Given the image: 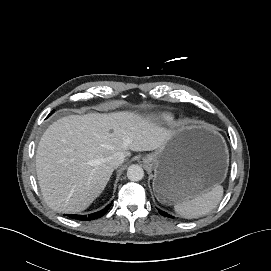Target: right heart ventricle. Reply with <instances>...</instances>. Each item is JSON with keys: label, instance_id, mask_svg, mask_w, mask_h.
<instances>
[{"label": "right heart ventricle", "instance_id": "right-heart-ventricle-1", "mask_svg": "<svg viewBox=\"0 0 271 271\" xmlns=\"http://www.w3.org/2000/svg\"><path fill=\"white\" fill-rule=\"evenodd\" d=\"M161 120L164 123H169V122H171L173 120V116H171V115H164Z\"/></svg>", "mask_w": 271, "mask_h": 271}]
</instances>
